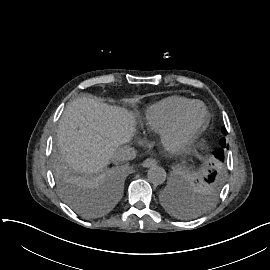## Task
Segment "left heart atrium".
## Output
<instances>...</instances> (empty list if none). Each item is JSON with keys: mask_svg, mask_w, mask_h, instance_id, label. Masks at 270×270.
Wrapping results in <instances>:
<instances>
[{"mask_svg": "<svg viewBox=\"0 0 270 270\" xmlns=\"http://www.w3.org/2000/svg\"><path fill=\"white\" fill-rule=\"evenodd\" d=\"M148 152L150 154H158L160 152V149L157 147V146H151L149 149H148Z\"/></svg>", "mask_w": 270, "mask_h": 270, "instance_id": "obj_1", "label": "left heart atrium"}]
</instances>
